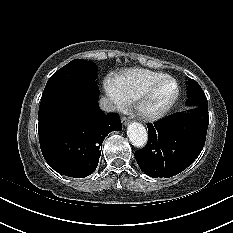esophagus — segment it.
Returning <instances> with one entry per match:
<instances>
[{"label": "esophagus", "instance_id": "34e87169", "mask_svg": "<svg viewBox=\"0 0 233 233\" xmlns=\"http://www.w3.org/2000/svg\"><path fill=\"white\" fill-rule=\"evenodd\" d=\"M128 123H129V119H128L127 117H123V118H122V124H123L124 126H126V125H128Z\"/></svg>", "mask_w": 233, "mask_h": 233}]
</instances>
